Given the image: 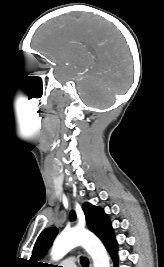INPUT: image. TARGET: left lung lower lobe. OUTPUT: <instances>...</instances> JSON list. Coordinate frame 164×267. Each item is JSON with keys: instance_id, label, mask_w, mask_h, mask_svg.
I'll return each mask as SVG.
<instances>
[{"instance_id": "obj_1", "label": "left lung lower lobe", "mask_w": 164, "mask_h": 267, "mask_svg": "<svg viewBox=\"0 0 164 267\" xmlns=\"http://www.w3.org/2000/svg\"><path fill=\"white\" fill-rule=\"evenodd\" d=\"M103 243L114 261V267H117V243L114 239V234L111 233Z\"/></svg>"}]
</instances>
